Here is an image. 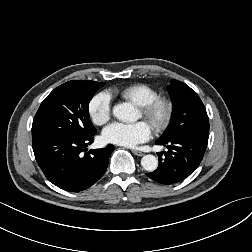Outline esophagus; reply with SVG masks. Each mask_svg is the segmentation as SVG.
I'll use <instances>...</instances> for the list:
<instances>
[{
  "label": "esophagus",
  "instance_id": "esophagus-1",
  "mask_svg": "<svg viewBox=\"0 0 252 252\" xmlns=\"http://www.w3.org/2000/svg\"><path fill=\"white\" fill-rule=\"evenodd\" d=\"M132 152H133L136 156H143V155H144V153L141 152V151H139V150L133 149Z\"/></svg>",
  "mask_w": 252,
  "mask_h": 252
}]
</instances>
